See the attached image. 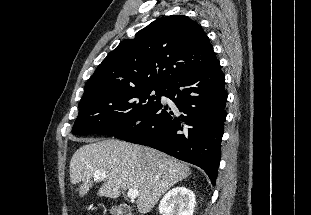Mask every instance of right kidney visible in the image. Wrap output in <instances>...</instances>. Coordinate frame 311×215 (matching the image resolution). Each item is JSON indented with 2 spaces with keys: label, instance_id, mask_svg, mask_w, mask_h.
Segmentation results:
<instances>
[{
  "label": "right kidney",
  "instance_id": "ca27d5eb",
  "mask_svg": "<svg viewBox=\"0 0 311 215\" xmlns=\"http://www.w3.org/2000/svg\"><path fill=\"white\" fill-rule=\"evenodd\" d=\"M195 207V195L193 191L178 186L168 191L159 204V212L162 215H193Z\"/></svg>",
  "mask_w": 311,
  "mask_h": 215
}]
</instances>
